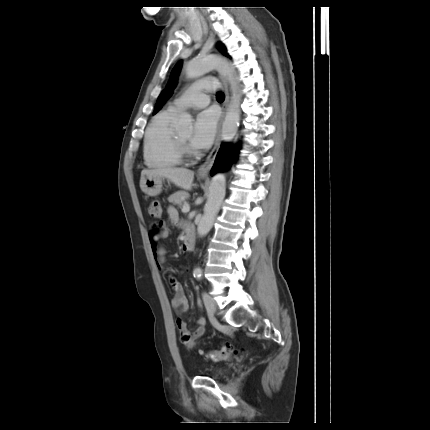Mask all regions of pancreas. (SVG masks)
<instances>
[{
	"label": "pancreas",
	"instance_id": "obj_1",
	"mask_svg": "<svg viewBox=\"0 0 430 430\" xmlns=\"http://www.w3.org/2000/svg\"><path fill=\"white\" fill-rule=\"evenodd\" d=\"M189 198V193L185 191H177L171 196H169L168 201L172 202L173 204H177L180 207L182 206V203Z\"/></svg>",
	"mask_w": 430,
	"mask_h": 430
}]
</instances>
